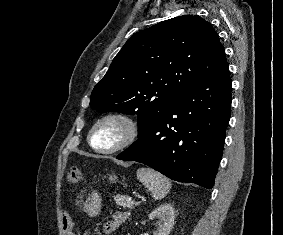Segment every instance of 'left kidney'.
<instances>
[{
    "label": "left kidney",
    "instance_id": "5707ae66",
    "mask_svg": "<svg viewBox=\"0 0 283 235\" xmlns=\"http://www.w3.org/2000/svg\"><path fill=\"white\" fill-rule=\"evenodd\" d=\"M159 217L162 225L159 226L158 232L154 235H169L173 224H174V209L171 204H163L153 210L149 214V219L153 220L154 218ZM148 235V234H142Z\"/></svg>",
    "mask_w": 283,
    "mask_h": 235
}]
</instances>
